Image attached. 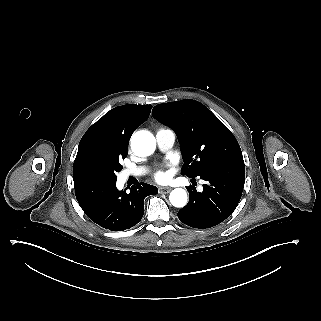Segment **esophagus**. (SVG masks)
I'll return each mask as SVG.
<instances>
[{"label": "esophagus", "mask_w": 321, "mask_h": 321, "mask_svg": "<svg viewBox=\"0 0 321 321\" xmlns=\"http://www.w3.org/2000/svg\"><path fill=\"white\" fill-rule=\"evenodd\" d=\"M171 190H172L171 187H169V186H163V187H160V188H159V193H160V194H167V193H169Z\"/></svg>", "instance_id": "34e87169"}]
</instances>
